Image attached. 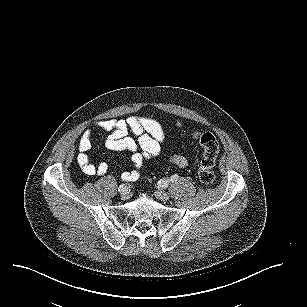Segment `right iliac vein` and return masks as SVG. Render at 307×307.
Returning <instances> with one entry per match:
<instances>
[{
	"mask_svg": "<svg viewBox=\"0 0 307 307\" xmlns=\"http://www.w3.org/2000/svg\"><path fill=\"white\" fill-rule=\"evenodd\" d=\"M122 200H127L130 197L129 192L127 191V187L124 188L123 191H119Z\"/></svg>",
	"mask_w": 307,
	"mask_h": 307,
	"instance_id": "1",
	"label": "right iliac vein"
}]
</instances>
